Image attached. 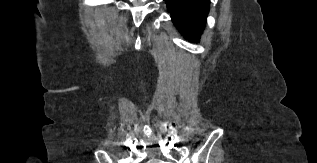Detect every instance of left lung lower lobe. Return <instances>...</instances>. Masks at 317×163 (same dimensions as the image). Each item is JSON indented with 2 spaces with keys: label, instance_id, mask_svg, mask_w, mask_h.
I'll list each match as a JSON object with an SVG mask.
<instances>
[{
  "label": "left lung lower lobe",
  "instance_id": "obj_1",
  "mask_svg": "<svg viewBox=\"0 0 317 163\" xmlns=\"http://www.w3.org/2000/svg\"><path fill=\"white\" fill-rule=\"evenodd\" d=\"M165 1L178 30L189 40L198 41L205 27L210 0Z\"/></svg>",
  "mask_w": 317,
  "mask_h": 163
}]
</instances>
